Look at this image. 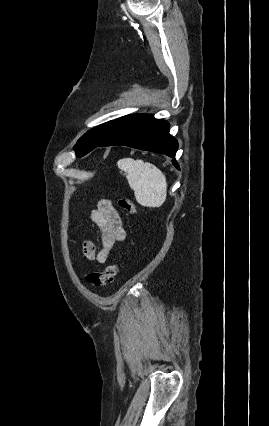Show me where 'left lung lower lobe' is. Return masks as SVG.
<instances>
[{"label": "left lung lower lobe", "mask_w": 269, "mask_h": 426, "mask_svg": "<svg viewBox=\"0 0 269 426\" xmlns=\"http://www.w3.org/2000/svg\"><path fill=\"white\" fill-rule=\"evenodd\" d=\"M167 121L149 114H133L118 118L97 147L124 145L175 157L177 140L168 132ZM173 165L179 169L175 159Z\"/></svg>", "instance_id": "1"}]
</instances>
